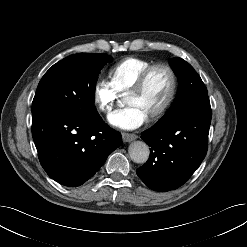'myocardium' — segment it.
I'll return each mask as SVG.
<instances>
[{
    "instance_id": "f54148a6",
    "label": "myocardium",
    "mask_w": 247,
    "mask_h": 247,
    "mask_svg": "<svg viewBox=\"0 0 247 247\" xmlns=\"http://www.w3.org/2000/svg\"><path fill=\"white\" fill-rule=\"evenodd\" d=\"M156 69L166 70L170 76L171 84H170V89H169V92H168V95H167L165 101L163 102V104L161 105V107L157 111H155L153 114H151L148 117L150 120H156V119L160 118L161 116H163L165 114V112L169 109V107L171 106L172 102L174 101V98H175L176 92H177V88H178V80H177V76H176V73L173 70V68L167 64H164V63H156V64L150 65L140 74V76L138 77L135 84L128 91V94H130V93L138 94V93L142 92V90L144 89V87L147 83L149 76Z\"/></svg>"
}]
</instances>
